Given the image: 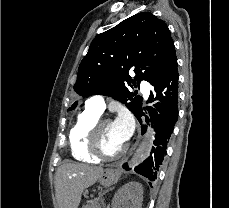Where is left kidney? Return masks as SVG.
I'll return each instance as SVG.
<instances>
[{
  "instance_id": "left-kidney-1",
  "label": "left kidney",
  "mask_w": 229,
  "mask_h": 208,
  "mask_svg": "<svg viewBox=\"0 0 229 208\" xmlns=\"http://www.w3.org/2000/svg\"><path fill=\"white\" fill-rule=\"evenodd\" d=\"M131 200L133 206L129 204ZM143 202V188L139 182H129L122 186L115 194L112 208H141Z\"/></svg>"
}]
</instances>
